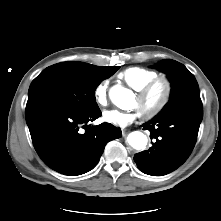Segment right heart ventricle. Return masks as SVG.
<instances>
[{
    "instance_id": "e07e8e85",
    "label": "right heart ventricle",
    "mask_w": 221,
    "mask_h": 221,
    "mask_svg": "<svg viewBox=\"0 0 221 221\" xmlns=\"http://www.w3.org/2000/svg\"><path fill=\"white\" fill-rule=\"evenodd\" d=\"M157 76L156 71L143 67H131L118 75L127 86L135 91Z\"/></svg>"
}]
</instances>
